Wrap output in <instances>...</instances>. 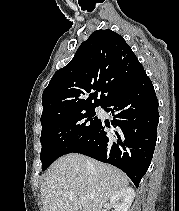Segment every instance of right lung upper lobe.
I'll list each match as a JSON object with an SVG mask.
<instances>
[{
	"label": "right lung upper lobe",
	"mask_w": 179,
	"mask_h": 211,
	"mask_svg": "<svg viewBox=\"0 0 179 211\" xmlns=\"http://www.w3.org/2000/svg\"><path fill=\"white\" fill-rule=\"evenodd\" d=\"M143 72L122 36L110 29L94 31L44 90L42 127L60 116L104 107Z\"/></svg>",
	"instance_id": "obj_1"
}]
</instances>
